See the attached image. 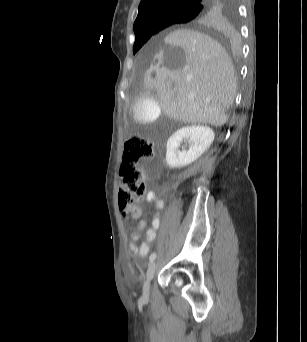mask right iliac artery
<instances>
[{
	"label": "right iliac artery",
	"mask_w": 307,
	"mask_h": 342,
	"mask_svg": "<svg viewBox=\"0 0 307 342\" xmlns=\"http://www.w3.org/2000/svg\"><path fill=\"white\" fill-rule=\"evenodd\" d=\"M155 258H156V253H152L149 257V261L153 262L155 260Z\"/></svg>",
	"instance_id": "1"
}]
</instances>
